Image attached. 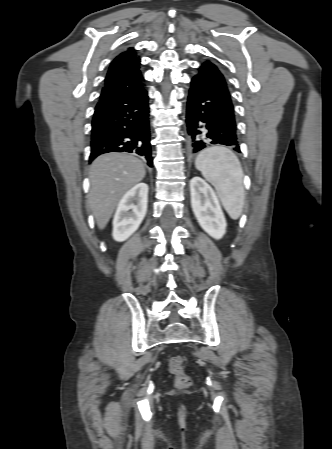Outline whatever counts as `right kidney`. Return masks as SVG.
<instances>
[{
    "label": "right kidney",
    "mask_w": 332,
    "mask_h": 449,
    "mask_svg": "<svg viewBox=\"0 0 332 449\" xmlns=\"http://www.w3.org/2000/svg\"><path fill=\"white\" fill-rule=\"evenodd\" d=\"M148 189L146 183H138L121 198L113 219L115 241H125L139 228L147 212Z\"/></svg>",
    "instance_id": "obj_1"
}]
</instances>
